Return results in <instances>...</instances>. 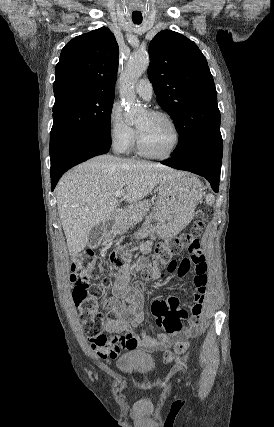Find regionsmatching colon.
<instances>
[{
	"label": "colon",
	"instance_id": "5ec220e1",
	"mask_svg": "<svg viewBox=\"0 0 274 427\" xmlns=\"http://www.w3.org/2000/svg\"><path fill=\"white\" fill-rule=\"evenodd\" d=\"M204 229L203 214L198 213L197 218L193 222L191 228L180 236L169 238L157 245L154 255L153 264L159 267H165L170 261L176 260L183 255V251H189L191 246L188 243L190 236H202ZM127 257L123 252H117L113 256L115 264H123L126 262ZM101 265L95 259L86 258L85 256H78L70 263V276H79L75 280V294L82 297L79 301H74L76 307H81V320L87 336L97 338L104 330L105 318L102 314L96 312V304L93 300L85 299L88 294V279L99 272ZM111 281L104 280V284L109 286ZM73 289V288H72ZM125 339V338H124ZM175 345L174 350L170 348L164 349L163 363L174 364L175 359L178 364H189V355L186 354L189 349L188 341H181Z\"/></svg>",
	"mask_w": 274,
	"mask_h": 427
}]
</instances>
